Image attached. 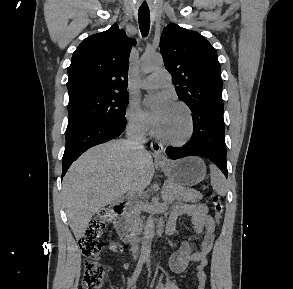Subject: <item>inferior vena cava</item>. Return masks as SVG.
I'll use <instances>...</instances> for the list:
<instances>
[{
  "label": "inferior vena cava",
  "instance_id": "inferior-vena-cava-1",
  "mask_svg": "<svg viewBox=\"0 0 293 289\" xmlns=\"http://www.w3.org/2000/svg\"><path fill=\"white\" fill-rule=\"evenodd\" d=\"M126 137H127V142L130 145H134L140 149L144 148L143 143L145 142V138H144L143 128L140 124H129V126L126 128ZM131 194L134 199V206L132 211L134 212V216H135V220L132 224L134 239L131 245V250L133 253H135V251L138 250L136 235L139 233V230H140L139 223H138L139 211L137 209L138 202H137L136 192H132Z\"/></svg>",
  "mask_w": 293,
  "mask_h": 289
}]
</instances>
